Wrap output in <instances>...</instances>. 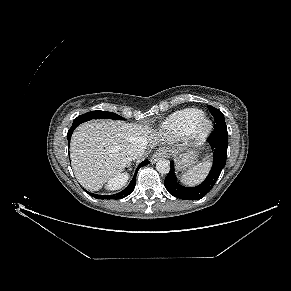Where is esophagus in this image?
Here are the masks:
<instances>
[{
  "label": "esophagus",
  "mask_w": 291,
  "mask_h": 291,
  "mask_svg": "<svg viewBox=\"0 0 291 291\" xmlns=\"http://www.w3.org/2000/svg\"><path fill=\"white\" fill-rule=\"evenodd\" d=\"M166 150L164 149H159L157 150L151 157L150 161L151 163H155L156 161H158L159 159L165 158L166 157Z\"/></svg>",
  "instance_id": "obj_1"
}]
</instances>
